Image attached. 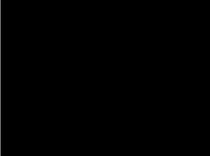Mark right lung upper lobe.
Wrapping results in <instances>:
<instances>
[{
	"label": "right lung upper lobe",
	"instance_id": "right-lung-upper-lobe-1",
	"mask_svg": "<svg viewBox=\"0 0 210 156\" xmlns=\"http://www.w3.org/2000/svg\"><path fill=\"white\" fill-rule=\"evenodd\" d=\"M68 86L59 84L54 91L53 126L61 131H74Z\"/></svg>",
	"mask_w": 210,
	"mask_h": 156
}]
</instances>
